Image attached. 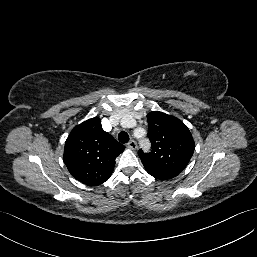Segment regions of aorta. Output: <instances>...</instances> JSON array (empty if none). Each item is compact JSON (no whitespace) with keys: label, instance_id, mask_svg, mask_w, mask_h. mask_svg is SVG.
<instances>
[{"label":"aorta","instance_id":"aorta-1","mask_svg":"<svg viewBox=\"0 0 257 257\" xmlns=\"http://www.w3.org/2000/svg\"><path fill=\"white\" fill-rule=\"evenodd\" d=\"M138 131H140V130H138ZM148 140H146L145 138H142V139H140V144L144 147V148H146V147H148V142H147Z\"/></svg>","mask_w":257,"mask_h":257}]
</instances>
